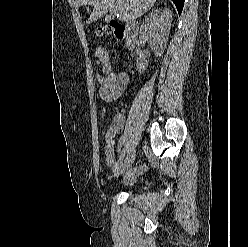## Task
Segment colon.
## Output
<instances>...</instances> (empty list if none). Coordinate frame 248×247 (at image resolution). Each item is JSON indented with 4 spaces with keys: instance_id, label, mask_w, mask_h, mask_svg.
Segmentation results:
<instances>
[{
    "instance_id": "5ec220e1",
    "label": "colon",
    "mask_w": 248,
    "mask_h": 247,
    "mask_svg": "<svg viewBox=\"0 0 248 247\" xmlns=\"http://www.w3.org/2000/svg\"><path fill=\"white\" fill-rule=\"evenodd\" d=\"M98 35H114L119 39H123V28L118 22H109L101 26L97 30ZM97 59L104 72L109 73L112 69L107 53L103 47L97 48Z\"/></svg>"
}]
</instances>
